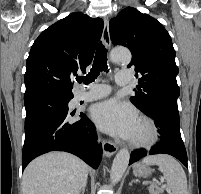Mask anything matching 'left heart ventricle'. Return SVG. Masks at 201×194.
<instances>
[{
  "instance_id": "1",
  "label": "left heart ventricle",
  "mask_w": 201,
  "mask_h": 194,
  "mask_svg": "<svg viewBox=\"0 0 201 194\" xmlns=\"http://www.w3.org/2000/svg\"><path fill=\"white\" fill-rule=\"evenodd\" d=\"M145 135H146V133H145L144 128L139 123H137V127H136V130H135V133H134V136L132 139H142L145 137Z\"/></svg>"
}]
</instances>
